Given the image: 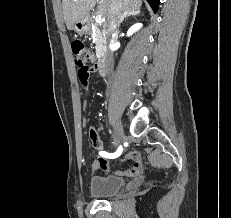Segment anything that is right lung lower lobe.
I'll return each mask as SVG.
<instances>
[{"instance_id": "1", "label": "right lung lower lobe", "mask_w": 231, "mask_h": 218, "mask_svg": "<svg viewBox=\"0 0 231 218\" xmlns=\"http://www.w3.org/2000/svg\"><path fill=\"white\" fill-rule=\"evenodd\" d=\"M147 1L150 4V6L152 7V9L154 10V12H156L158 10L159 0H147Z\"/></svg>"}]
</instances>
